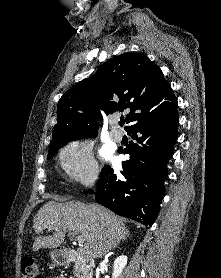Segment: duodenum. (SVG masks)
Returning <instances> with one entry per match:
<instances>
[{
    "label": "duodenum",
    "instance_id": "obj_1",
    "mask_svg": "<svg viewBox=\"0 0 221 278\" xmlns=\"http://www.w3.org/2000/svg\"><path fill=\"white\" fill-rule=\"evenodd\" d=\"M60 251L66 260L73 263L81 271V278H91L89 271L93 266L92 260L80 258L77 251L71 248L60 247Z\"/></svg>",
    "mask_w": 221,
    "mask_h": 278
}]
</instances>
